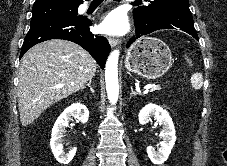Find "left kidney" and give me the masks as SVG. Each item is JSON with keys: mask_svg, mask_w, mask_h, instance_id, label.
<instances>
[{"mask_svg": "<svg viewBox=\"0 0 227 166\" xmlns=\"http://www.w3.org/2000/svg\"><path fill=\"white\" fill-rule=\"evenodd\" d=\"M154 117L161 125L162 131L160 136L163 141L158 151H155L151 146L147 147V154L150 160L156 164H163L169 157L171 150L175 144V127L169 113L160 106L149 103L144 106L138 115L141 125L147 124Z\"/></svg>", "mask_w": 227, "mask_h": 166, "instance_id": "5707ae66", "label": "left kidney"}]
</instances>
